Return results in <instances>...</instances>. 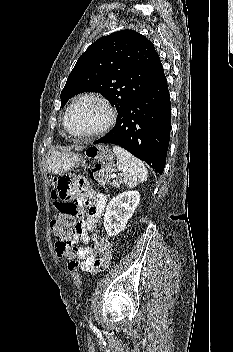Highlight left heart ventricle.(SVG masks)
Masks as SVG:
<instances>
[{
	"label": "left heart ventricle",
	"instance_id": "b2bd125f",
	"mask_svg": "<svg viewBox=\"0 0 233 352\" xmlns=\"http://www.w3.org/2000/svg\"><path fill=\"white\" fill-rule=\"evenodd\" d=\"M105 118L106 111L99 103L84 100L72 109L70 124L74 131L87 133L99 127Z\"/></svg>",
	"mask_w": 233,
	"mask_h": 352
}]
</instances>
